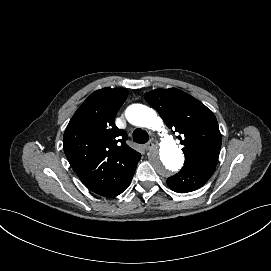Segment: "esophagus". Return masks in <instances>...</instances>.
<instances>
[{
  "label": "esophagus",
  "instance_id": "1",
  "mask_svg": "<svg viewBox=\"0 0 271 271\" xmlns=\"http://www.w3.org/2000/svg\"><path fill=\"white\" fill-rule=\"evenodd\" d=\"M144 148L146 149V150H152V149H154L155 148V144L153 143V142H148V143H146L145 145H144Z\"/></svg>",
  "mask_w": 271,
  "mask_h": 271
}]
</instances>
